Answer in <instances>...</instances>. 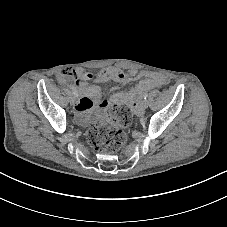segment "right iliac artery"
Masks as SVG:
<instances>
[{"label": "right iliac artery", "instance_id": "1", "mask_svg": "<svg viewBox=\"0 0 227 227\" xmlns=\"http://www.w3.org/2000/svg\"><path fill=\"white\" fill-rule=\"evenodd\" d=\"M68 87L72 90L74 96L77 97L78 94H77V89H76V87H75L74 85H68Z\"/></svg>", "mask_w": 227, "mask_h": 227}]
</instances>
